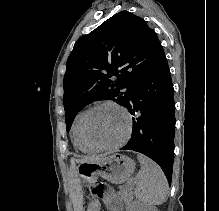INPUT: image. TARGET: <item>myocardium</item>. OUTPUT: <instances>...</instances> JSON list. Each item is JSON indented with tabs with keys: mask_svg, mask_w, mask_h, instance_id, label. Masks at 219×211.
I'll return each instance as SVG.
<instances>
[{
	"mask_svg": "<svg viewBox=\"0 0 219 211\" xmlns=\"http://www.w3.org/2000/svg\"><path fill=\"white\" fill-rule=\"evenodd\" d=\"M102 106H111L114 107L116 109H118L126 118V129L125 132L122 136V138L117 141L116 143L113 144H96L94 142L91 141V139L89 138L88 134H87V120L89 115L92 113L93 110H95L98 107H102ZM131 127H132V118L130 113L121 105L113 102V101H102V102H98L94 105H92L90 108H88L81 119V123H80V133L82 136L83 141L89 145L90 147L94 148L95 150H110V149H116L120 146H122L124 143L127 142V140L130 137V132H131Z\"/></svg>",
	"mask_w": 219,
	"mask_h": 211,
	"instance_id": "obj_1",
	"label": "myocardium"
}]
</instances>
